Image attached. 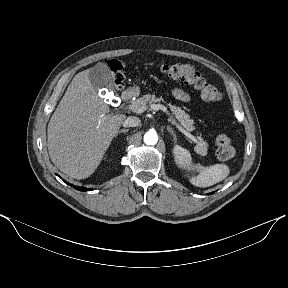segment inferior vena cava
Returning <instances> with one entry per match:
<instances>
[{
	"label": "inferior vena cava",
	"instance_id": "1",
	"mask_svg": "<svg viewBox=\"0 0 288 288\" xmlns=\"http://www.w3.org/2000/svg\"><path fill=\"white\" fill-rule=\"evenodd\" d=\"M141 124V120L138 117L130 116L123 122L124 127H137Z\"/></svg>",
	"mask_w": 288,
	"mask_h": 288
}]
</instances>
